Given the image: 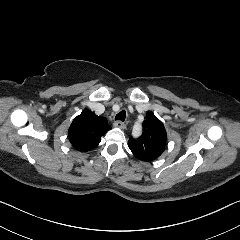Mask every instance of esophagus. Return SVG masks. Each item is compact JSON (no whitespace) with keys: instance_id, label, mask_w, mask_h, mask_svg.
<instances>
[{"instance_id":"obj_1","label":"esophagus","mask_w":240,"mask_h":240,"mask_svg":"<svg viewBox=\"0 0 240 240\" xmlns=\"http://www.w3.org/2000/svg\"><path fill=\"white\" fill-rule=\"evenodd\" d=\"M114 126L120 129H126V125L121 121L114 122Z\"/></svg>"}]
</instances>
